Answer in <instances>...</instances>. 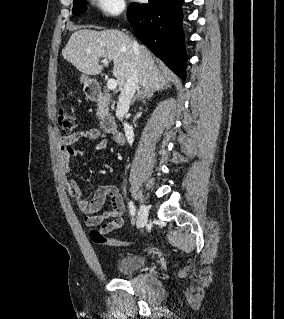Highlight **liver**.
Returning <instances> with one entry per match:
<instances>
[{
	"label": "liver",
	"mask_w": 284,
	"mask_h": 319,
	"mask_svg": "<svg viewBox=\"0 0 284 319\" xmlns=\"http://www.w3.org/2000/svg\"><path fill=\"white\" fill-rule=\"evenodd\" d=\"M132 43L131 38L119 30L80 29L71 35L62 56L86 76L101 73L103 66L99 64L100 59L112 60L113 76L120 89L125 85L137 58L139 85L153 92L159 90L160 81L164 83L167 72L160 74L146 46L138 45V50L134 51Z\"/></svg>",
	"instance_id": "obj_1"
}]
</instances>
